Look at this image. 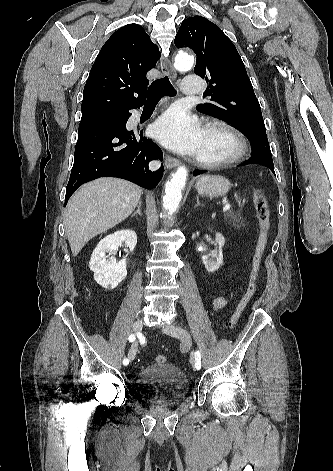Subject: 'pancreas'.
Returning a JSON list of instances; mask_svg holds the SVG:
<instances>
[{"mask_svg": "<svg viewBox=\"0 0 333 471\" xmlns=\"http://www.w3.org/2000/svg\"><path fill=\"white\" fill-rule=\"evenodd\" d=\"M227 217L232 219V223L236 227H239L238 223H243V218L241 217L240 214H234V213L230 212L229 214H227Z\"/></svg>", "mask_w": 333, "mask_h": 471, "instance_id": "pancreas-1", "label": "pancreas"}]
</instances>
